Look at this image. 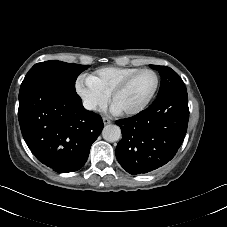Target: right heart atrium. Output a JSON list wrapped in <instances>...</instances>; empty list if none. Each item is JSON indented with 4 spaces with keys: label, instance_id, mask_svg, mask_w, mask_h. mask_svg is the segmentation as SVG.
<instances>
[{
    "label": "right heart atrium",
    "instance_id": "d8ad5b80",
    "mask_svg": "<svg viewBox=\"0 0 227 227\" xmlns=\"http://www.w3.org/2000/svg\"><path fill=\"white\" fill-rule=\"evenodd\" d=\"M75 88L84 106L90 110L103 109L109 101L110 95L92 82L89 77H80Z\"/></svg>",
    "mask_w": 227,
    "mask_h": 227
}]
</instances>
